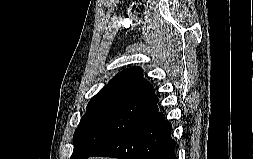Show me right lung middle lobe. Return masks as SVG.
<instances>
[{"mask_svg":"<svg viewBox=\"0 0 253 159\" xmlns=\"http://www.w3.org/2000/svg\"><path fill=\"white\" fill-rule=\"evenodd\" d=\"M156 109V104L133 98H92L74 133V151L70 159H87Z\"/></svg>","mask_w":253,"mask_h":159,"instance_id":"dd1d6c3e","label":"right lung middle lobe"}]
</instances>
